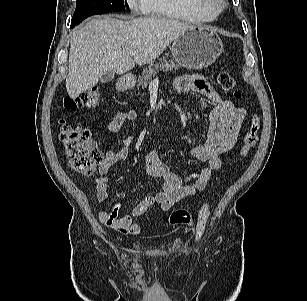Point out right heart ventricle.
Wrapping results in <instances>:
<instances>
[{"label":"right heart ventricle","mask_w":307,"mask_h":301,"mask_svg":"<svg viewBox=\"0 0 307 301\" xmlns=\"http://www.w3.org/2000/svg\"><path fill=\"white\" fill-rule=\"evenodd\" d=\"M146 13L191 23L211 22L217 16L213 11L197 6L192 0H148Z\"/></svg>","instance_id":"right-heart-ventricle-1"}]
</instances>
